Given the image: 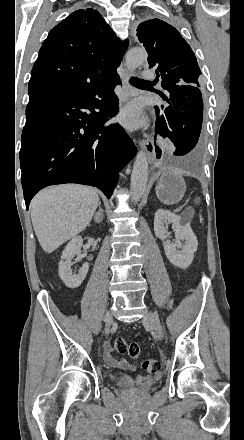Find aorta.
<instances>
[{
	"instance_id": "aorta-1",
	"label": "aorta",
	"mask_w": 244,
	"mask_h": 440,
	"mask_svg": "<svg viewBox=\"0 0 244 440\" xmlns=\"http://www.w3.org/2000/svg\"><path fill=\"white\" fill-rule=\"evenodd\" d=\"M147 59V53L142 48H132L126 55V65L130 71L135 70ZM148 181V160L144 151H138L131 174L130 191L132 200L137 202L143 196Z\"/></svg>"
}]
</instances>
